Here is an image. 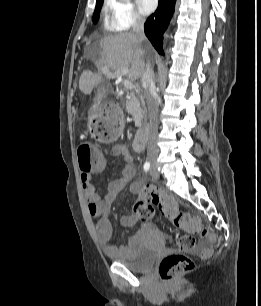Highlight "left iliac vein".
Wrapping results in <instances>:
<instances>
[{
	"instance_id": "left-iliac-vein-1",
	"label": "left iliac vein",
	"mask_w": 261,
	"mask_h": 306,
	"mask_svg": "<svg viewBox=\"0 0 261 306\" xmlns=\"http://www.w3.org/2000/svg\"><path fill=\"white\" fill-rule=\"evenodd\" d=\"M150 175L153 179H158L159 178V174L155 171L154 167H152V169L150 171Z\"/></svg>"
}]
</instances>
